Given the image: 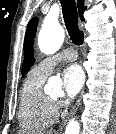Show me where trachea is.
Returning a JSON list of instances; mask_svg holds the SVG:
<instances>
[{
    "instance_id": "1",
    "label": "trachea",
    "mask_w": 116,
    "mask_h": 134,
    "mask_svg": "<svg viewBox=\"0 0 116 134\" xmlns=\"http://www.w3.org/2000/svg\"><path fill=\"white\" fill-rule=\"evenodd\" d=\"M65 25L72 42L81 46L84 42V34L78 28V12L75 0H60Z\"/></svg>"
}]
</instances>
